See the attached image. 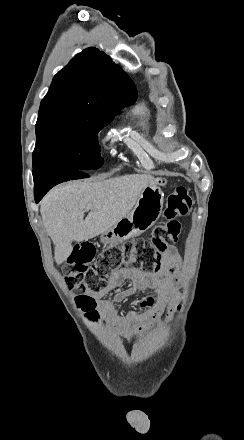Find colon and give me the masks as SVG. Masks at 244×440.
<instances>
[{"label": "colon", "instance_id": "1", "mask_svg": "<svg viewBox=\"0 0 244 440\" xmlns=\"http://www.w3.org/2000/svg\"><path fill=\"white\" fill-rule=\"evenodd\" d=\"M191 207L192 200L188 189L178 187L166 199L163 214L167 221L153 229L148 241L138 240L132 245L119 246L99 255L92 242L80 248H72L70 259L73 262H64L65 275L61 281L64 284L69 283V294H78L76 303L79 305V312L85 313L87 319H98L99 312L94 310L97 299L84 293L90 290L91 294H98L111 270L130 263L143 266V271L147 273L158 272L161 255L177 240L180 232L181 225L177 219L188 215ZM86 272L89 273L84 278L81 274ZM182 309L181 305L178 306V311Z\"/></svg>", "mask_w": 244, "mask_h": 440}]
</instances>
